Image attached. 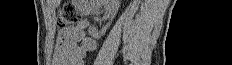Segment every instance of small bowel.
<instances>
[{
  "mask_svg": "<svg viewBox=\"0 0 232 65\" xmlns=\"http://www.w3.org/2000/svg\"><path fill=\"white\" fill-rule=\"evenodd\" d=\"M85 23L77 27L61 29L58 33V51L59 61L67 65H83V59L86 54L96 48L93 39L86 37L84 33ZM81 44L78 45L77 42Z\"/></svg>",
  "mask_w": 232,
  "mask_h": 65,
  "instance_id": "c3829d8e",
  "label": "small bowel"
}]
</instances>
